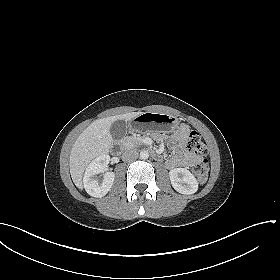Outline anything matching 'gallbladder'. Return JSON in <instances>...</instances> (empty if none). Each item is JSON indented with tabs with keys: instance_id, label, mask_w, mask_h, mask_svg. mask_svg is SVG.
Segmentation results:
<instances>
[{
	"instance_id": "1",
	"label": "gallbladder",
	"mask_w": 280,
	"mask_h": 280,
	"mask_svg": "<svg viewBox=\"0 0 280 280\" xmlns=\"http://www.w3.org/2000/svg\"><path fill=\"white\" fill-rule=\"evenodd\" d=\"M127 132V123L124 120L115 121L110 127V133L114 140L122 139Z\"/></svg>"
}]
</instances>
